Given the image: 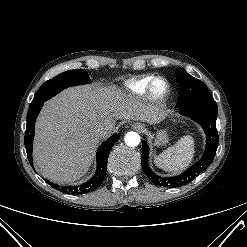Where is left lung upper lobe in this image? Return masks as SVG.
<instances>
[{
	"label": "left lung upper lobe",
	"instance_id": "1",
	"mask_svg": "<svg viewBox=\"0 0 247 247\" xmlns=\"http://www.w3.org/2000/svg\"><path fill=\"white\" fill-rule=\"evenodd\" d=\"M177 78L180 86L178 105L212 98L207 86L202 81L188 74L184 69L178 70Z\"/></svg>",
	"mask_w": 247,
	"mask_h": 247
}]
</instances>
